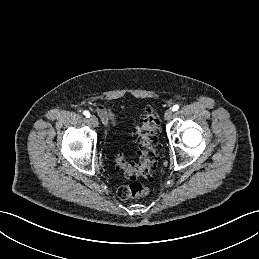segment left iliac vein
I'll return each instance as SVG.
<instances>
[{"mask_svg": "<svg viewBox=\"0 0 259 259\" xmlns=\"http://www.w3.org/2000/svg\"><path fill=\"white\" fill-rule=\"evenodd\" d=\"M173 117V111L171 109L166 110L165 114H164V119L166 121L171 120V118Z\"/></svg>", "mask_w": 259, "mask_h": 259, "instance_id": "left-iliac-vein-1", "label": "left iliac vein"}]
</instances>
